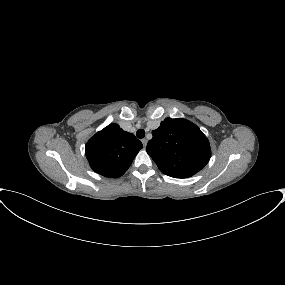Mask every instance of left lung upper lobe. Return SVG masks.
I'll list each match as a JSON object with an SVG mask.
<instances>
[{
    "instance_id": "5c2ea615",
    "label": "left lung upper lobe",
    "mask_w": 285,
    "mask_h": 285,
    "mask_svg": "<svg viewBox=\"0 0 285 285\" xmlns=\"http://www.w3.org/2000/svg\"><path fill=\"white\" fill-rule=\"evenodd\" d=\"M152 135L146 151L160 171L170 177H191L210 159L208 139L188 120L166 118Z\"/></svg>"
}]
</instances>
